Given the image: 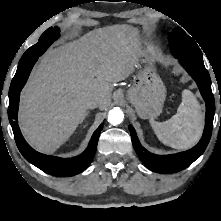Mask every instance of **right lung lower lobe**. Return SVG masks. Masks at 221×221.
<instances>
[{
    "instance_id": "right-lung-lower-lobe-1",
    "label": "right lung lower lobe",
    "mask_w": 221,
    "mask_h": 221,
    "mask_svg": "<svg viewBox=\"0 0 221 221\" xmlns=\"http://www.w3.org/2000/svg\"><path fill=\"white\" fill-rule=\"evenodd\" d=\"M40 55L41 53H24V55L20 59L17 72L11 82V86L9 89L8 118L13 129L17 147L26 160L50 175L60 177L73 176L82 172L90 165L95 155L98 138L103 126L100 125L96 129L87 149L82 154L69 159L38 153L26 143L18 126L17 114L19 106V96L22 87L25 85L28 79L33 65ZM11 91L13 92L12 94L10 93Z\"/></svg>"
}]
</instances>
